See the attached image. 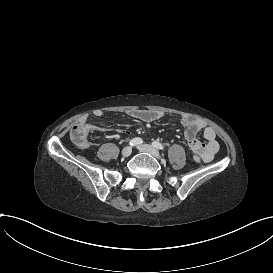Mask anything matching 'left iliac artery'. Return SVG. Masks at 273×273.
I'll return each mask as SVG.
<instances>
[{"label": "left iliac artery", "instance_id": "1", "mask_svg": "<svg viewBox=\"0 0 273 273\" xmlns=\"http://www.w3.org/2000/svg\"><path fill=\"white\" fill-rule=\"evenodd\" d=\"M152 145L157 149L164 150V146L161 143L157 142V141H154L152 143Z\"/></svg>", "mask_w": 273, "mask_h": 273}]
</instances>
